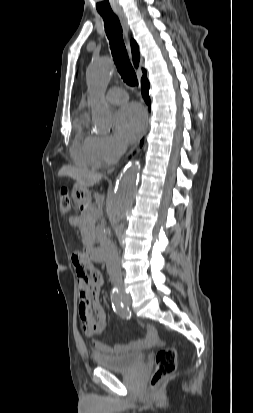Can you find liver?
<instances>
[{"label": "liver", "instance_id": "6515ba94", "mask_svg": "<svg viewBox=\"0 0 253 413\" xmlns=\"http://www.w3.org/2000/svg\"><path fill=\"white\" fill-rule=\"evenodd\" d=\"M58 176H68L76 180L77 184L86 189L88 187L94 186V184L98 183L102 178L101 174L90 172L74 166H63L59 170Z\"/></svg>", "mask_w": 253, "mask_h": 413}]
</instances>
